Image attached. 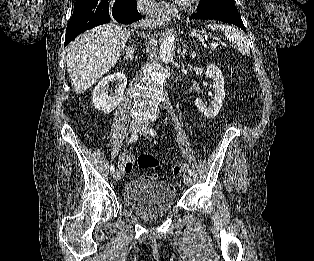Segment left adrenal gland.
Here are the masks:
<instances>
[{
  "mask_svg": "<svg viewBox=\"0 0 314 261\" xmlns=\"http://www.w3.org/2000/svg\"><path fill=\"white\" fill-rule=\"evenodd\" d=\"M186 53H187V49H186V45H184L183 46V50L181 52V55H182L183 58H185Z\"/></svg>",
  "mask_w": 314,
  "mask_h": 261,
  "instance_id": "1",
  "label": "left adrenal gland"
}]
</instances>
